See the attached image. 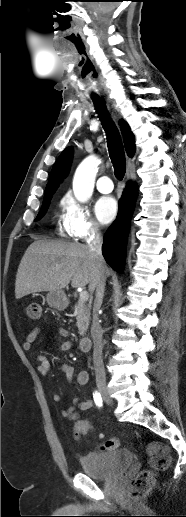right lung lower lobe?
Listing matches in <instances>:
<instances>
[{"instance_id": "obj_1", "label": "right lung lower lobe", "mask_w": 186, "mask_h": 517, "mask_svg": "<svg viewBox=\"0 0 186 517\" xmlns=\"http://www.w3.org/2000/svg\"><path fill=\"white\" fill-rule=\"evenodd\" d=\"M136 188L129 183L119 201L115 222L104 235L102 253L107 263L117 272H123L125 246L130 229V220L135 206Z\"/></svg>"}]
</instances>
